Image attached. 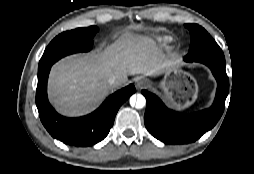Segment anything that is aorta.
Returning a JSON list of instances; mask_svg holds the SVG:
<instances>
[{
  "mask_svg": "<svg viewBox=\"0 0 254 174\" xmlns=\"http://www.w3.org/2000/svg\"><path fill=\"white\" fill-rule=\"evenodd\" d=\"M130 104L135 106L137 109H141L146 105V99L142 94L133 95L130 98Z\"/></svg>",
  "mask_w": 254,
  "mask_h": 174,
  "instance_id": "aorta-1",
  "label": "aorta"
}]
</instances>
